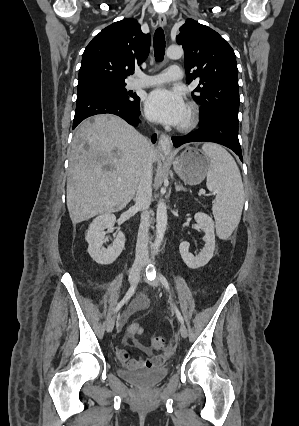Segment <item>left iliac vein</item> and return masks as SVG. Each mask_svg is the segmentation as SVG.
Instances as JSON below:
<instances>
[{
	"instance_id": "4c4485c4",
	"label": "left iliac vein",
	"mask_w": 299,
	"mask_h": 426,
	"mask_svg": "<svg viewBox=\"0 0 299 426\" xmlns=\"http://www.w3.org/2000/svg\"><path fill=\"white\" fill-rule=\"evenodd\" d=\"M146 281L153 287H157L160 284V278L158 276H153L152 279L146 278ZM180 334L183 338H186L188 335L187 328L184 324L181 323L180 325Z\"/></svg>"
}]
</instances>
